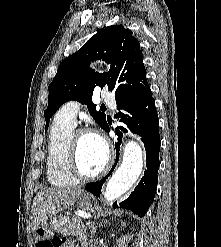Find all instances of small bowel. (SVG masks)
Here are the masks:
<instances>
[{
	"instance_id": "small-bowel-1",
	"label": "small bowel",
	"mask_w": 221,
	"mask_h": 247,
	"mask_svg": "<svg viewBox=\"0 0 221 247\" xmlns=\"http://www.w3.org/2000/svg\"><path fill=\"white\" fill-rule=\"evenodd\" d=\"M39 243V242H38ZM37 243V244H38ZM37 246V245H36ZM58 247H73L69 242H65V241H63L62 243H61V245L60 246H58Z\"/></svg>"
}]
</instances>
